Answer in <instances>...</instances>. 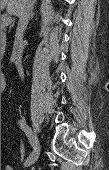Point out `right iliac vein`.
<instances>
[{
	"label": "right iliac vein",
	"instance_id": "1",
	"mask_svg": "<svg viewBox=\"0 0 109 170\" xmlns=\"http://www.w3.org/2000/svg\"><path fill=\"white\" fill-rule=\"evenodd\" d=\"M30 137L34 143V148H33L32 154L29 156V158L25 162L26 166H30L33 163H35L39 157V154H40V144L38 141V137L35 133V130L33 128L30 129Z\"/></svg>",
	"mask_w": 109,
	"mask_h": 170
}]
</instances>
